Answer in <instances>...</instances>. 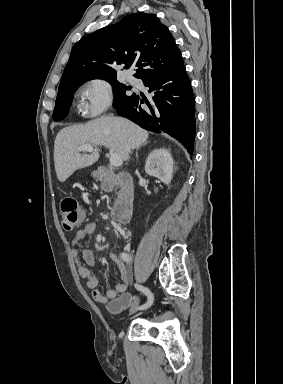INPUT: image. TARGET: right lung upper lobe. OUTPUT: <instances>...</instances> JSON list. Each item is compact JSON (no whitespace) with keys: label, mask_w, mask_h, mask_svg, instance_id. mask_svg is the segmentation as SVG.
I'll use <instances>...</instances> for the list:
<instances>
[{"label":"right lung upper lobe","mask_w":283,"mask_h":384,"mask_svg":"<svg viewBox=\"0 0 283 384\" xmlns=\"http://www.w3.org/2000/svg\"><path fill=\"white\" fill-rule=\"evenodd\" d=\"M136 62V78L147 79L184 64L167 26L155 14L135 13L78 41L64 69L60 85L91 79H116L117 65Z\"/></svg>","instance_id":"1"}]
</instances>
